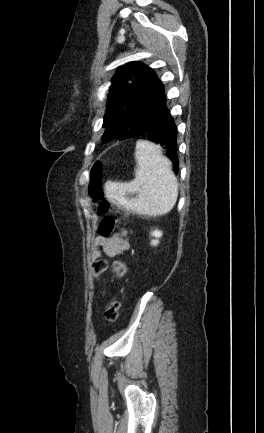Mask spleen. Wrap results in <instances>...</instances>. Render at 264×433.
<instances>
[{
  "label": "spleen",
  "instance_id": "1",
  "mask_svg": "<svg viewBox=\"0 0 264 433\" xmlns=\"http://www.w3.org/2000/svg\"><path fill=\"white\" fill-rule=\"evenodd\" d=\"M135 158V179L130 182L107 181L106 197L139 215L156 217L167 214L178 197V182L171 162L158 145L146 140L137 141ZM131 194L138 195L129 198Z\"/></svg>",
  "mask_w": 264,
  "mask_h": 433
}]
</instances>
